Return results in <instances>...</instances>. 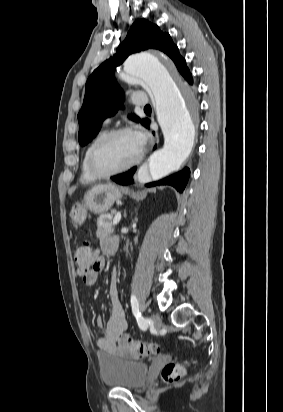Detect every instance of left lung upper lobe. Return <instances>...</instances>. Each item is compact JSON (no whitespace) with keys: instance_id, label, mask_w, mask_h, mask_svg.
I'll list each match as a JSON object with an SVG mask.
<instances>
[{"instance_id":"5c2ea615","label":"left lung upper lobe","mask_w":283,"mask_h":412,"mask_svg":"<svg viewBox=\"0 0 283 412\" xmlns=\"http://www.w3.org/2000/svg\"><path fill=\"white\" fill-rule=\"evenodd\" d=\"M147 49H157L168 55L184 78L190 73L185 59L179 54L168 33L162 32L157 25L147 20L136 21L117 48L116 54L94 70L87 80L84 102L78 114L80 145L84 146L96 137L101 129V122L114 115L118 104L124 100L114 78L116 66L123 63L130 54ZM134 120L139 121V118L134 117ZM147 121L144 119L141 123L145 125Z\"/></svg>"}]
</instances>
